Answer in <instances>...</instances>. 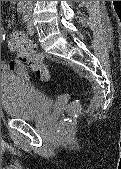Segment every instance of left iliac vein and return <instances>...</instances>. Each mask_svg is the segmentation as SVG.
<instances>
[{
  "instance_id": "left-iliac-vein-1",
  "label": "left iliac vein",
  "mask_w": 121,
  "mask_h": 169,
  "mask_svg": "<svg viewBox=\"0 0 121 169\" xmlns=\"http://www.w3.org/2000/svg\"><path fill=\"white\" fill-rule=\"evenodd\" d=\"M26 29H27V33L30 35H33L35 32L34 26L32 24V20L29 16L26 18Z\"/></svg>"
}]
</instances>
